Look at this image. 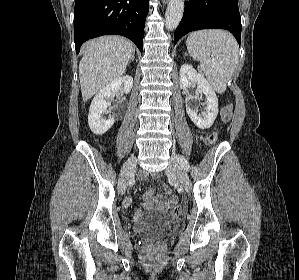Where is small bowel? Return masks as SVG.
<instances>
[{"label":"small bowel","mask_w":299,"mask_h":280,"mask_svg":"<svg viewBox=\"0 0 299 280\" xmlns=\"http://www.w3.org/2000/svg\"><path fill=\"white\" fill-rule=\"evenodd\" d=\"M143 199V208L146 209H165L176 201V198L174 196H171L169 198H158L151 189L147 190L144 193ZM130 204L131 200L126 199L123 206L128 207ZM137 215H140V210L137 211Z\"/></svg>","instance_id":"c3829d8e"}]
</instances>
